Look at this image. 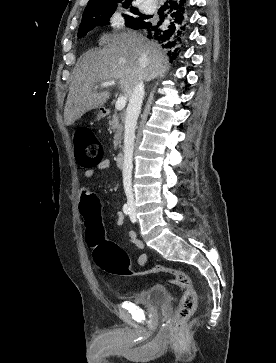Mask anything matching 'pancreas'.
Listing matches in <instances>:
<instances>
[{"label":"pancreas","mask_w":276,"mask_h":363,"mask_svg":"<svg viewBox=\"0 0 276 363\" xmlns=\"http://www.w3.org/2000/svg\"><path fill=\"white\" fill-rule=\"evenodd\" d=\"M109 126L115 132L114 135V149L122 148V138H123V124L119 121V116L117 113L112 115V119L109 120Z\"/></svg>","instance_id":"1"}]
</instances>
